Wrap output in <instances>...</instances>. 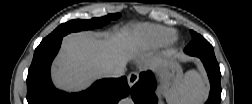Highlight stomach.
<instances>
[{
	"label": "stomach",
	"mask_w": 252,
	"mask_h": 104,
	"mask_svg": "<svg viewBox=\"0 0 252 104\" xmlns=\"http://www.w3.org/2000/svg\"><path fill=\"white\" fill-rule=\"evenodd\" d=\"M161 81V91L170 101L184 81V75L180 63L175 58L162 61L157 68Z\"/></svg>",
	"instance_id": "obj_1"
}]
</instances>
